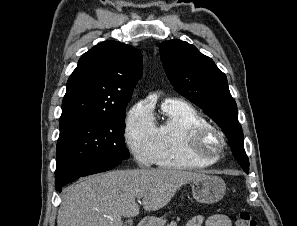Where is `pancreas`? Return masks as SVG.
Listing matches in <instances>:
<instances>
[{
	"label": "pancreas",
	"instance_id": "cf45deb5",
	"mask_svg": "<svg viewBox=\"0 0 297 226\" xmlns=\"http://www.w3.org/2000/svg\"><path fill=\"white\" fill-rule=\"evenodd\" d=\"M177 221H180V218H177ZM167 226H177V223L175 221H171Z\"/></svg>",
	"mask_w": 297,
	"mask_h": 226
}]
</instances>
